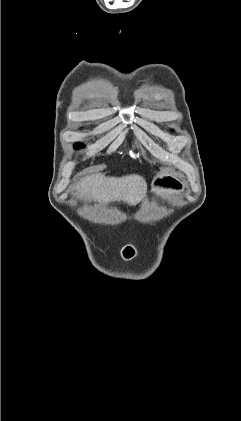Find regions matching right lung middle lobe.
<instances>
[{"instance_id":"right-lung-middle-lobe-1","label":"right lung middle lobe","mask_w":241,"mask_h":421,"mask_svg":"<svg viewBox=\"0 0 241 421\" xmlns=\"http://www.w3.org/2000/svg\"><path fill=\"white\" fill-rule=\"evenodd\" d=\"M81 147H84V145H83L82 143H76V144H75V148H76V149H79V148H81Z\"/></svg>"}]
</instances>
